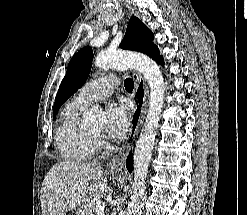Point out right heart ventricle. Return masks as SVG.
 I'll use <instances>...</instances> for the list:
<instances>
[{
  "mask_svg": "<svg viewBox=\"0 0 247 215\" xmlns=\"http://www.w3.org/2000/svg\"><path fill=\"white\" fill-rule=\"evenodd\" d=\"M85 108L73 100L65 105L61 113L55 137L61 156L68 162L89 161L97 149L95 139L79 126L80 115Z\"/></svg>",
  "mask_w": 247,
  "mask_h": 215,
  "instance_id": "obj_1",
  "label": "right heart ventricle"
}]
</instances>
